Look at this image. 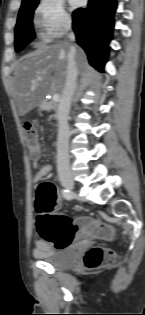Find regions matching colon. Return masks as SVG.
I'll return each instance as SVG.
<instances>
[{
	"mask_svg": "<svg viewBox=\"0 0 145 315\" xmlns=\"http://www.w3.org/2000/svg\"><path fill=\"white\" fill-rule=\"evenodd\" d=\"M23 132L27 147L32 154L39 151L35 126L26 122ZM59 203L56 186L51 182L41 183L36 190L35 208L38 213L37 230L40 236L57 248H63L78 238L105 239L112 235L105 223L90 217L75 220L55 212ZM114 255L102 247H92L84 255L83 263L87 269L95 270L111 264Z\"/></svg>",
	"mask_w": 145,
	"mask_h": 315,
	"instance_id": "colon-1",
	"label": "colon"
}]
</instances>
